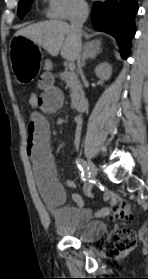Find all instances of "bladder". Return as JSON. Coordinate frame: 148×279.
Masks as SVG:
<instances>
[{"instance_id":"obj_1","label":"bladder","mask_w":148,"mask_h":279,"mask_svg":"<svg viewBox=\"0 0 148 279\" xmlns=\"http://www.w3.org/2000/svg\"><path fill=\"white\" fill-rule=\"evenodd\" d=\"M56 230L63 236L89 243L101 239L107 232V226L102 221H90L77 225H66L59 221L56 224Z\"/></svg>"}]
</instances>
